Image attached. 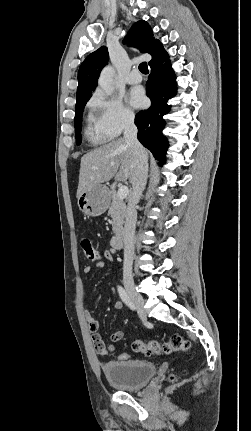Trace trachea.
Segmentation results:
<instances>
[{
	"label": "trachea",
	"mask_w": 251,
	"mask_h": 431,
	"mask_svg": "<svg viewBox=\"0 0 251 431\" xmlns=\"http://www.w3.org/2000/svg\"><path fill=\"white\" fill-rule=\"evenodd\" d=\"M139 70H140L143 74H147V73H149L147 63H146V62L141 63V64L139 65Z\"/></svg>",
	"instance_id": "trachea-1"
}]
</instances>
